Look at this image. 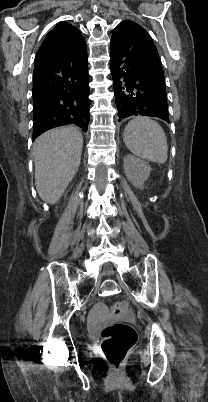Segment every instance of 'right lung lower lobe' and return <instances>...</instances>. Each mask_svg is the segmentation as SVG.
Here are the masks:
<instances>
[{
	"label": "right lung lower lobe",
	"instance_id": "right-lung-lower-lobe-1",
	"mask_svg": "<svg viewBox=\"0 0 208 402\" xmlns=\"http://www.w3.org/2000/svg\"><path fill=\"white\" fill-rule=\"evenodd\" d=\"M87 48L83 37L70 47L35 58L33 74V138L62 125L89 124Z\"/></svg>",
	"mask_w": 208,
	"mask_h": 402
}]
</instances>
